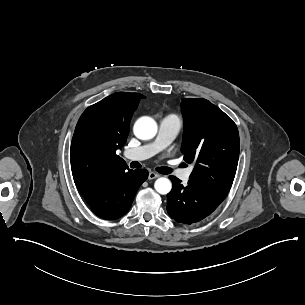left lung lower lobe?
I'll use <instances>...</instances> for the list:
<instances>
[{
    "label": "left lung lower lobe",
    "instance_id": "1",
    "mask_svg": "<svg viewBox=\"0 0 305 305\" xmlns=\"http://www.w3.org/2000/svg\"><path fill=\"white\" fill-rule=\"evenodd\" d=\"M173 188L167 194V212L175 221L183 224L199 222L210 215L226 198L227 192L213 190L188 181L182 185L175 176L169 177Z\"/></svg>",
    "mask_w": 305,
    "mask_h": 305
}]
</instances>
